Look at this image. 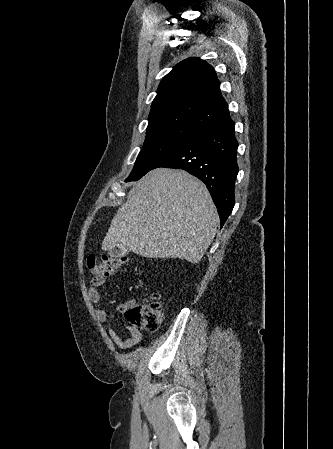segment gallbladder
<instances>
[{
	"mask_svg": "<svg viewBox=\"0 0 333 449\" xmlns=\"http://www.w3.org/2000/svg\"><path fill=\"white\" fill-rule=\"evenodd\" d=\"M129 252L126 246L115 245L114 247L108 249V255L111 257H123Z\"/></svg>",
	"mask_w": 333,
	"mask_h": 449,
	"instance_id": "obj_1",
	"label": "gallbladder"
}]
</instances>
